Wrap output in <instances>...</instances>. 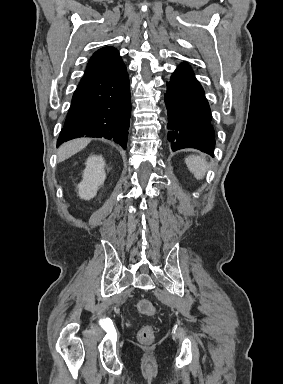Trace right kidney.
Wrapping results in <instances>:
<instances>
[{
    "instance_id": "right-kidney-1",
    "label": "right kidney",
    "mask_w": 283,
    "mask_h": 384,
    "mask_svg": "<svg viewBox=\"0 0 283 384\" xmlns=\"http://www.w3.org/2000/svg\"><path fill=\"white\" fill-rule=\"evenodd\" d=\"M105 162L102 156H90L86 162L83 180L78 184L81 200H91L97 194L99 186H103L106 178Z\"/></svg>"
}]
</instances>
